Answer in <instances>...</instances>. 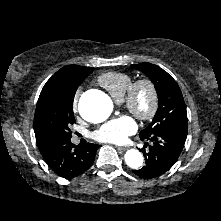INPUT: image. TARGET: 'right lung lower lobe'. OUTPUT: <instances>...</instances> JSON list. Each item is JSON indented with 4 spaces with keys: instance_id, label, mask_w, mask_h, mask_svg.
Returning a JSON list of instances; mask_svg holds the SVG:
<instances>
[{
    "instance_id": "1",
    "label": "right lung lower lobe",
    "mask_w": 221,
    "mask_h": 221,
    "mask_svg": "<svg viewBox=\"0 0 221 221\" xmlns=\"http://www.w3.org/2000/svg\"><path fill=\"white\" fill-rule=\"evenodd\" d=\"M99 145H74L69 141H54L39 149L49 167L60 177L74 178L88 170Z\"/></svg>"
}]
</instances>
